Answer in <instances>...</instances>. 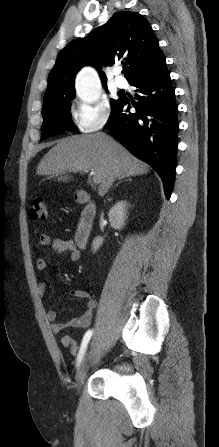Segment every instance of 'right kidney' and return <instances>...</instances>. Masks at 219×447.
Wrapping results in <instances>:
<instances>
[{
    "label": "right kidney",
    "mask_w": 219,
    "mask_h": 447,
    "mask_svg": "<svg viewBox=\"0 0 219 447\" xmlns=\"http://www.w3.org/2000/svg\"><path fill=\"white\" fill-rule=\"evenodd\" d=\"M126 201L117 202L108 212L109 222L111 227L120 230L125 225L126 218ZM103 243V238L97 236L92 243V250L95 252Z\"/></svg>",
    "instance_id": "obj_1"
}]
</instances>
